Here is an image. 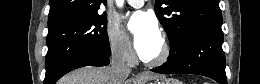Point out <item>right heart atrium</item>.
Here are the masks:
<instances>
[{"instance_id": "obj_1", "label": "right heart atrium", "mask_w": 260, "mask_h": 84, "mask_svg": "<svg viewBox=\"0 0 260 84\" xmlns=\"http://www.w3.org/2000/svg\"><path fill=\"white\" fill-rule=\"evenodd\" d=\"M107 45L111 56L120 63L130 65L134 62L135 55L120 29L110 23L107 27Z\"/></svg>"}]
</instances>
